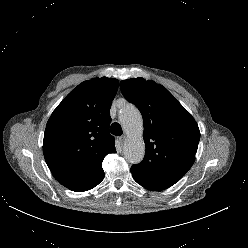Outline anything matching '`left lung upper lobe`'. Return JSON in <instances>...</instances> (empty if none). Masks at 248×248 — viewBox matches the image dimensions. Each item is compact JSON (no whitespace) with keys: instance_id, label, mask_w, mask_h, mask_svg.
Returning <instances> with one entry per match:
<instances>
[{"instance_id":"obj_1","label":"left lung upper lobe","mask_w":248,"mask_h":248,"mask_svg":"<svg viewBox=\"0 0 248 248\" xmlns=\"http://www.w3.org/2000/svg\"><path fill=\"white\" fill-rule=\"evenodd\" d=\"M124 97L143 117L146 153L131 167L134 180L152 191L178 182L195 160L200 131L194 118L162 85L143 78L123 80Z\"/></svg>"}]
</instances>
